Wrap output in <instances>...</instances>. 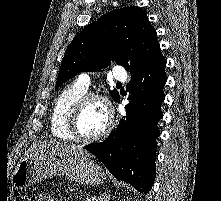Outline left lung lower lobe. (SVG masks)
I'll list each match as a JSON object with an SVG mask.
<instances>
[{"label": "left lung lower lobe", "mask_w": 221, "mask_h": 201, "mask_svg": "<svg viewBox=\"0 0 221 201\" xmlns=\"http://www.w3.org/2000/svg\"><path fill=\"white\" fill-rule=\"evenodd\" d=\"M165 67L166 59L161 54L141 73L131 76L127 84V120H121L105 141L86 146L113 176L145 194L156 174V138L160 135L157 124L163 117L160 106L165 99Z\"/></svg>", "instance_id": "obj_1"}]
</instances>
